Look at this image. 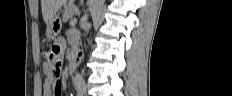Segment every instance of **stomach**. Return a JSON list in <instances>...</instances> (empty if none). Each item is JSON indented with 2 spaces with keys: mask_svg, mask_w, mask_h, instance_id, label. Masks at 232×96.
I'll use <instances>...</instances> for the list:
<instances>
[{
  "mask_svg": "<svg viewBox=\"0 0 232 96\" xmlns=\"http://www.w3.org/2000/svg\"><path fill=\"white\" fill-rule=\"evenodd\" d=\"M61 21L58 17H54L51 23L47 25V36L51 39H54L60 32Z\"/></svg>",
  "mask_w": 232,
  "mask_h": 96,
  "instance_id": "stomach-1",
  "label": "stomach"
}]
</instances>
